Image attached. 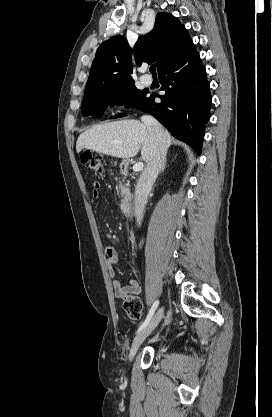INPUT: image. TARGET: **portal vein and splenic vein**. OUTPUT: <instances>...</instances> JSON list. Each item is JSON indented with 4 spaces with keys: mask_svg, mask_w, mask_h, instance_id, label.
<instances>
[{
    "mask_svg": "<svg viewBox=\"0 0 272 417\" xmlns=\"http://www.w3.org/2000/svg\"><path fill=\"white\" fill-rule=\"evenodd\" d=\"M143 162H138V163H135L134 165H133V171L134 172H139V171H141L142 169H143Z\"/></svg>",
    "mask_w": 272,
    "mask_h": 417,
    "instance_id": "portal-vein-and-splenic-vein-1",
    "label": "portal vein and splenic vein"
}]
</instances>
